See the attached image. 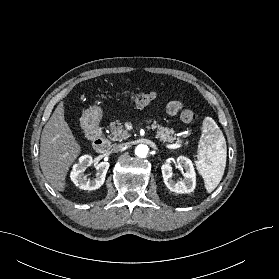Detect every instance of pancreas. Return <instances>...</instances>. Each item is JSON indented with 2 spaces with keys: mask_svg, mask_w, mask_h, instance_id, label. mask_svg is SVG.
<instances>
[{
  "mask_svg": "<svg viewBox=\"0 0 279 279\" xmlns=\"http://www.w3.org/2000/svg\"><path fill=\"white\" fill-rule=\"evenodd\" d=\"M148 122H151V120ZM152 128L156 129V137L159 138L160 141L173 143L176 140L173 128L163 127L155 121L152 124ZM110 131L111 134L109 137L112 141H123L130 137L128 130L123 127L119 120L111 123ZM176 143H180L179 139H177Z\"/></svg>",
  "mask_w": 279,
  "mask_h": 279,
  "instance_id": "1",
  "label": "pancreas"
}]
</instances>
